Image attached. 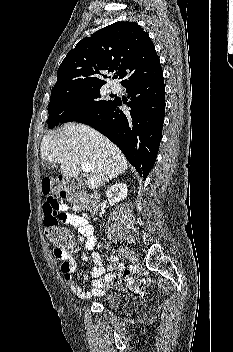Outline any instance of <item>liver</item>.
<instances>
[{
  "mask_svg": "<svg viewBox=\"0 0 233 352\" xmlns=\"http://www.w3.org/2000/svg\"><path fill=\"white\" fill-rule=\"evenodd\" d=\"M41 158L44 162H58L64 178H75L81 171V163H89L93 170L87 180L89 189H98L110 179L124 173L128 162L121 150L108 138L93 128L68 123L56 134L45 135L41 142Z\"/></svg>",
  "mask_w": 233,
  "mask_h": 352,
  "instance_id": "1",
  "label": "liver"
}]
</instances>
